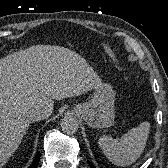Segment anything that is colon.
<instances>
[{
    "label": "colon",
    "mask_w": 168,
    "mask_h": 168,
    "mask_svg": "<svg viewBox=\"0 0 168 168\" xmlns=\"http://www.w3.org/2000/svg\"><path fill=\"white\" fill-rule=\"evenodd\" d=\"M104 49H105V51H106V53L111 57V58H115L114 57V53H113V50H112V48H111V46L109 45V44H105L104 45Z\"/></svg>",
    "instance_id": "1"
}]
</instances>
